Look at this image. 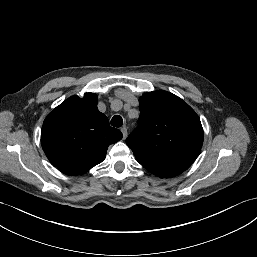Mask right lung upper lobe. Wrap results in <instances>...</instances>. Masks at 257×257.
<instances>
[{"label": "right lung upper lobe", "instance_id": "obj_1", "mask_svg": "<svg viewBox=\"0 0 257 257\" xmlns=\"http://www.w3.org/2000/svg\"><path fill=\"white\" fill-rule=\"evenodd\" d=\"M96 94L72 96L45 119L42 148L49 161L61 172L79 175L101 163L108 146L122 138L97 108Z\"/></svg>", "mask_w": 257, "mask_h": 257}]
</instances>
